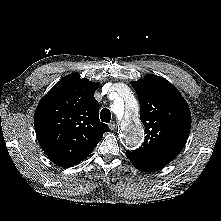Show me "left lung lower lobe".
Returning <instances> with one entry per match:
<instances>
[{"label": "left lung lower lobe", "instance_id": "0a47b994", "mask_svg": "<svg viewBox=\"0 0 221 221\" xmlns=\"http://www.w3.org/2000/svg\"><path fill=\"white\" fill-rule=\"evenodd\" d=\"M127 157L129 158V160L131 161V163L140 171L142 172H154V171H158L160 169H162L164 166L153 163V162H149V161H145L143 159L137 158L131 154H129V152H126Z\"/></svg>", "mask_w": 221, "mask_h": 221}]
</instances>
